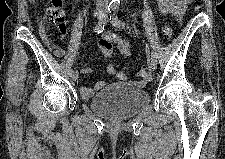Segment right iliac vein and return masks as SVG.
<instances>
[{
  "instance_id": "63e3f726",
  "label": "right iliac vein",
  "mask_w": 225,
  "mask_h": 159,
  "mask_svg": "<svg viewBox=\"0 0 225 159\" xmlns=\"http://www.w3.org/2000/svg\"><path fill=\"white\" fill-rule=\"evenodd\" d=\"M96 16H97L98 18H101V12H100V11L97 12ZM70 77H71V79H72L73 81H76V80L78 79V73H77V72H72V73L70 74Z\"/></svg>"
}]
</instances>
